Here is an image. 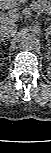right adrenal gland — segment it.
<instances>
[{"label":"right adrenal gland","mask_w":51,"mask_h":153,"mask_svg":"<svg viewBox=\"0 0 51 153\" xmlns=\"http://www.w3.org/2000/svg\"><path fill=\"white\" fill-rule=\"evenodd\" d=\"M4 41H7V39L6 38H0V43H2Z\"/></svg>","instance_id":"obj_1"}]
</instances>
